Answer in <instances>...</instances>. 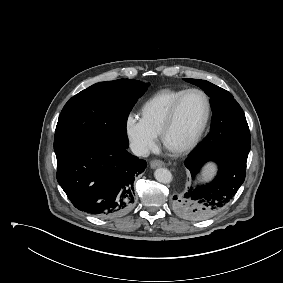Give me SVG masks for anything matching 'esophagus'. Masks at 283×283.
Instances as JSON below:
<instances>
[{
	"label": "esophagus",
	"mask_w": 283,
	"mask_h": 283,
	"mask_svg": "<svg viewBox=\"0 0 283 283\" xmlns=\"http://www.w3.org/2000/svg\"><path fill=\"white\" fill-rule=\"evenodd\" d=\"M150 166L152 169H155L157 167L165 166V163L162 160H152Z\"/></svg>",
	"instance_id": "esophagus-1"
}]
</instances>
